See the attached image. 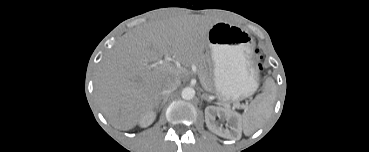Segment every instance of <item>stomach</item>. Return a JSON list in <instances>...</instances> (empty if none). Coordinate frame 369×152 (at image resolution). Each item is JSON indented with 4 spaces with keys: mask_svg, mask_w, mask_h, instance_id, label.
<instances>
[{
    "mask_svg": "<svg viewBox=\"0 0 369 152\" xmlns=\"http://www.w3.org/2000/svg\"><path fill=\"white\" fill-rule=\"evenodd\" d=\"M214 61V85L224 101H235L252 94L257 74L250 67V36L243 29L226 23L213 24L206 36Z\"/></svg>",
    "mask_w": 369,
    "mask_h": 152,
    "instance_id": "0dacf381",
    "label": "stomach"
}]
</instances>
